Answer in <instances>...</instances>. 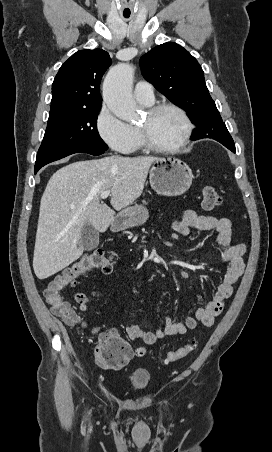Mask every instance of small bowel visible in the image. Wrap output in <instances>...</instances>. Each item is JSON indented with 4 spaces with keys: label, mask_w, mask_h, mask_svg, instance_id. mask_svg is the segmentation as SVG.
Masks as SVG:
<instances>
[{
    "label": "small bowel",
    "mask_w": 272,
    "mask_h": 452,
    "mask_svg": "<svg viewBox=\"0 0 272 452\" xmlns=\"http://www.w3.org/2000/svg\"><path fill=\"white\" fill-rule=\"evenodd\" d=\"M172 227L176 233L183 236L189 235L192 230L216 231L218 233L217 241L221 247V257L224 262L228 263V268L213 298L207 303H203L202 297L198 298L201 305L195 309L194 316L184 317L180 320L165 317L163 328L155 331L147 330L137 324H130L126 327V334L130 339L142 340L146 345H153L157 340L167 336L185 334L188 330L195 329L199 322L204 326H212L215 317L222 312L226 300L233 294L235 282L245 271L244 255L247 252V247L244 243L234 241L232 223L229 218H218L203 215L194 210H186L179 218L173 220ZM99 295V291H93L91 294L75 293L74 299L79 306V311L87 312L90 301ZM143 300L144 298L141 297L139 303H142ZM61 318L72 327L83 323L81 316L75 310H72L69 315L61 316ZM94 332L98 334V339L102 334L121 338L116 329L100 332L99 328H94ZM126 346L129 348L131 358L133 352L127 344Z\"/></svg>",
    "instance_id": "c3829d8e"
}]
</instances>
